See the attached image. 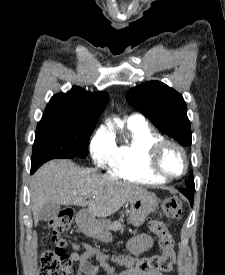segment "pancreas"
I'll list each match as a JSON object with an SVG mask.
<instances>
[{"label":"pancreas","mask_w":225,"mask_h":275,"mask_svg":"<svg viewBox=\"0 0 225 275\" xmlns=\"http://www.w3.org/2000/svg\"><path fill=\"white\" fill-rule=\"evenodd\" d=\"M123 227H124V226H122L121 220L115 221V222H113V223H111V224L108 225V229L113 230V231L120 230V229H122Z\"/></svg>","instance_id":"obj_1"}]
</instances>
